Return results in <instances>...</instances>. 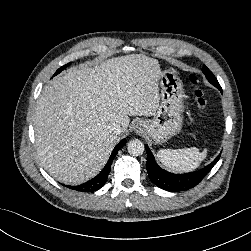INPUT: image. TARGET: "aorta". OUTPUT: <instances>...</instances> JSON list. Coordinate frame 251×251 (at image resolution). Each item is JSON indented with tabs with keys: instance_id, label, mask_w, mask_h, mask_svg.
I'll use <instances>...</instances> for the list:
<instances>
[{
	"instance_id": "762f6f07",
	"label": "aorta",
	"mask_w": 251,
	"mask_h": 251,
	"mask_svg": "<svg viewBox=\"0 0 251 251\" xmlns=\"http://www.w3.org/2000/svg\"><path fill=\"white\" fill-rule=\"evenodd\" d=\"M127 150L130 155L139 156L143 154L145 147L142 141L139 139H134L127 144Z\"/></svg>"
}]
</instances>
